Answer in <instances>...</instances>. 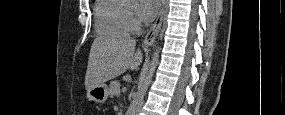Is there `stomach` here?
<instances>
[{
    "label": "stomach",
    "mask_w": 285,
    "mask_h": 115,
    "mask_svg": "<svg viewBox=\"0 0 285 115\" xmlns=\"http://www.w3.org/2000/svg\"><path fill=\"white\" fill-rule=\"evenodd\" d=\"M108 87L106 84L98 85L90 90H87L86 98L89 101H94L98 104L104 103L108 98Z\"/></svg>",
    "instance_id": "0dacf381"
}]
</instances>
